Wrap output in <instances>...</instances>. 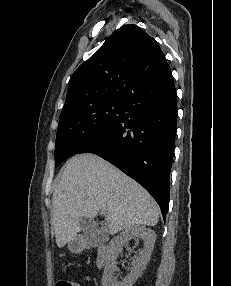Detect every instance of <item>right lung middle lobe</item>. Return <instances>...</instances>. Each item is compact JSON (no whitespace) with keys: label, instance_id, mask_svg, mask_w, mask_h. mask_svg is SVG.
Masks as SVG:
<instances>
[{"label":"right lung middle lobe","instance_id":"right-lung-middle-lobe-1","mask_svg":"<svg viewBox=\"0 0 231 286\" xmlns=\"http://www.w3.org/2000/svg\"><path fill=\"white\" fill-rule=\"evenodd\" d=\"M124 114L123 101L102 102L60 117L55 166L104 134Z\"/></svg>","mask_w":231,"mask_h":286}]
</instances>
